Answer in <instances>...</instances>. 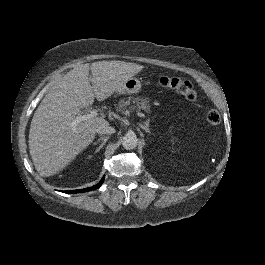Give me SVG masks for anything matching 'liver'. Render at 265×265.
<instances>
[{
  "label": "liver",
  "mask_w": 265,
  "mask_h": 265,
  "mask_svg": "<svg viewBox=\"0 0 265 265\" xmlns=\"http://www.w3.org/2000/svg\"><path fill=\"white\" fill-rule=\"evenodd\" d=\"M142 69L124 61L82 64L52 87L36 109L29 130L30 155L40 176H52L66 167L94 140L96 128L108 123L93 117L73 126L80 109L92 105L94 98L103 101L110 97Z\"/></svg>",
  "instance_id": "6515ba94"
}]
</instances>
